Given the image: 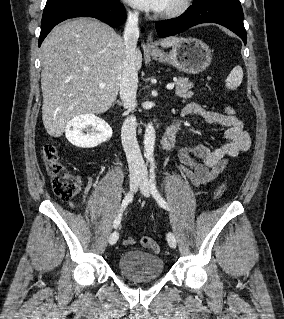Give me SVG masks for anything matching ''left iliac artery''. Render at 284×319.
Here are the masks:
<instances>
[{"label": "left iliac artery", "instance_id": "left-iliac-artery-1", "mask_svg": "<svg viewBox=\"0 0 284 319\" xmlns=\"http://www.w3.org/2000/svg\"><path fill=\"white\" fill-rule=\"evenodd\" d=\"M150 190L157 201V203L164 209L169 210V205L168 203L161 197L157 187H156V181H155V162L153 159L150 160Z\"/></svg>", "mask_w": 284, "mask_h": 319}]
</instances>
